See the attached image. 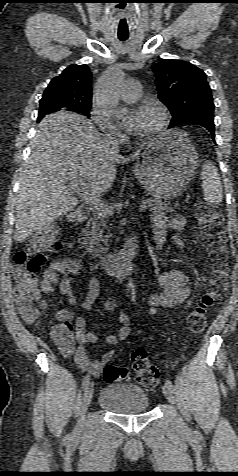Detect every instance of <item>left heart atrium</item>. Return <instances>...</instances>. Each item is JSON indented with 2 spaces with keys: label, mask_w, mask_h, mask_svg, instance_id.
Wrapping results in <instances>:
<instances>
[{
  "label": "left heart atrium",
  "mask_w": 238,
  "mask_h": 476,
  "mask_svg": "<svg viewBox=\"0 0 238 476\" xmlns=\"http://www.w3.org/2000/svg\"><path fill=\"white\" fill-rule=\"evenodd\" d=\"M142 119H143L142 111L137 110V111H133L128 116H126L123 119L122 123L128 131L137 134L141 126Z\"/></svg>",
  "instance_id": "left-heart-atrium-1"
}]
</instances>
